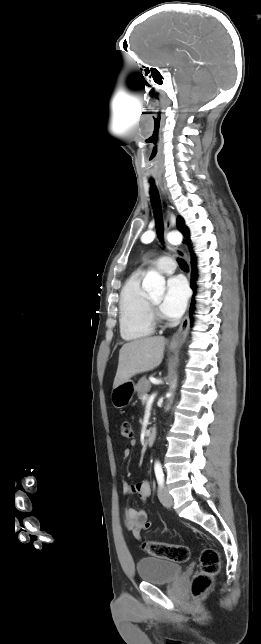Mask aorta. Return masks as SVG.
<instances>
[{
    "mask_svg": "<svg viewBox=\"0 0 261 644\" xmlns=\"http://www.w3.org/2000/svg\"><path fill=\"white\" fill-rule=\"evenodd\" d=\"M177 239H180L179 235L169 237L170 242H176ZM142 288L151 294L162 295L165 290V278L158 272L150 270L143 280Z\"/></svg>",
    "mask_w": 261,
    "mask_h": 644,
    "instance_id": "1",
    "label": "aorta"
}]
</instances>
